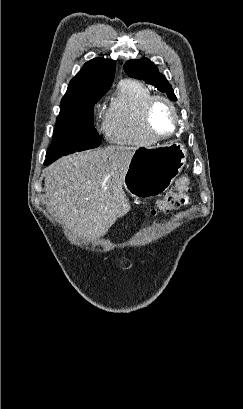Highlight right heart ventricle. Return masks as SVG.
<instances>
[{
    "label": "right heart ventricle",
    "mask_w": 243,
    "mask_h": 409,
    "mask_svg": "<svg viewBox=\"0 0 243 409\" xmlns=\"http://www.w3.org/2000/svg\"><path fill=\"white\" fill-rule=\"evenodd\" d=\"M152 95L140 81H120L106 111L104 129L108 138L118 144L147 146L155 140L143 123V106Z\"/></svg>",
    "instance_id": "obj_1"
}]
</instances>
